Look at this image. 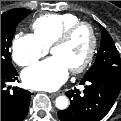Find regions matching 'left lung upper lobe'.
Segmentation results:
<instances>
[{"label": "left lung upper lobe", "mask_w": 121, "mask_h": 121, "mask_svg": "<svg viewBox=\"0 0 121 121\" xmlns=\"http://www.w3.org/2000/svg\"><path fill=\"white\" fill-rule=\"evenodd\" d=\"M101 29V44L96 61L85 75L92 73H121V59L115 44L107 30L98 24Z\"/></svg>", "instance_id": "5c2ea615"}]
</instances>
